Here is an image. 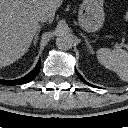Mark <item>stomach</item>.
Instances as JSON below:
<instances>
[{
    "mask_svg": "<svg viewBox=\"0 0 128 128\" xmlns=\"http://www.w3.org/2000/svg\"><path fill=\"white\" fill-rule=\"evenodd\" d=\"M104 0H83L78 14L81 27L87 32L98 31L104 23Z\"/></svg>",
    "mask_w": 128,
    "mask_h": 128,
    "instance_id": "1",
    "label": "stomach"
}]
</instances>
